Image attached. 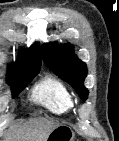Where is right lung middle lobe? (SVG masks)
Wrapping results in <instances>:
<instances>
[{
	"mask_svg": "<svg viewBox=\"0 0 119 141\" xmlns=\"http://www.w3.org/2000/svg\"><path fill=\"white\" fill-rule=\"evenodd\" d=\"M38 73L39 71L23 75H9V84L13 89V97L17 96Z\"/></svg>",
	"mask_w": 119,
	"mask_h": 141,
	"instance_id": "obj_1",
	"label": "right lung middle lobe"
}]
</instances>
